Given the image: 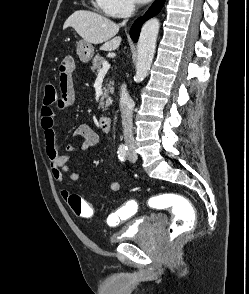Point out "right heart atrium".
I'll return each instance as SVG.
<instances>
[{"label": "right heart atrium", "mask_w": 249, "mask_h": 294, "mask_svg": "<svg viewBox=\"0 0 249 294\" xmlns=\"http://www.w3.org/2000/svg\"><path fill=\"white\" fill-rule=\"evenodd\" d=\"M136 7V0H105V13L113 17L128 16Z\"/></svg>", "instance_id": "d8ad5b80"}]
</instances>
